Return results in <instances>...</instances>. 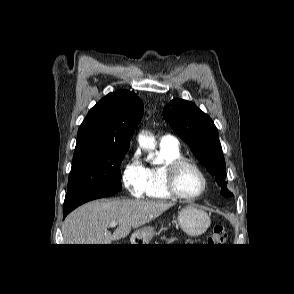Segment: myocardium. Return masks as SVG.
<instances>
[{"label": "myocardium", "instance_id": "1", "mask_svg": "<svg viewBox=\"0 0 294 294\" xmlns=\"http://www.w3.org/2000/svg\"><path fill=\"white\" fill-rule=\"evenodd\" d=\"M189 166L193 168L201 177L202 179V188L201 190L193 195V196H186L183 195L182 193L179 192L177 185H176V180L178 173L183 167ZM208 185L207 177L204 171L200 168V166L193 160L188 159V158H177L170 162L168 166L166 167V189L169 192V194L179 200L182 201H195L199 199L206 191Z\"/></svg>", "mask_w": 294, "mask_h": 294}]
</instances>
